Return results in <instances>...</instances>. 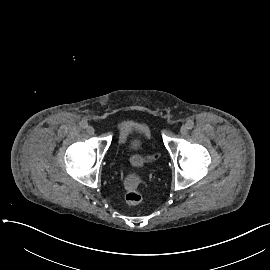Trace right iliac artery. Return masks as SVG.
Returning <instances> with one entry per match:
<instances>
[{"label": "right iliac artery", "mask_w": 270, "mask_h": 270, "mask_svg": "<svg viewBox=\"0 0 270 270\" xmlns=\"http://www.w3.org/2000/svg\"><path fill=\"white\" fill-rule=\"evenodd\" d=\"M80 127H82V128H87L88 127V123L86 122V121H81L80 122Z\"/></svg>", "instance_id": "right-iliac-artery-1"}]
</instances>
